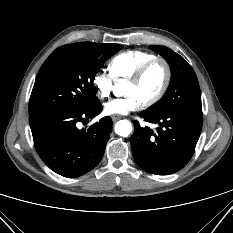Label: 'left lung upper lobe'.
Returning <instances> with one entry per match:
<instances>
[{
  "label": "left lung upper lobe",
  "instance_id": "5c2ea615",
  "mask_svg": "<svg viewBox=\"0 0 233 233\" xmlns=\"http://www.w3.org/2000/svg\"><path fill=\"white\" fill-rule=\"evenodd\" d=\"M150 49L169 63L171 82L165 96L145 112L158 116L176 109L202 110L199 83L192 67L183 57L167 47L151 45Z\"/></svg>",
  "mask_w": 233,
  "mask_h": 233
}]
</instances>
